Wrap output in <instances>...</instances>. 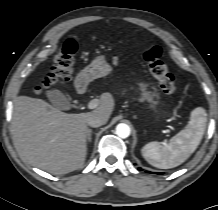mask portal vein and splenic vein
I'll return each instance as SVG.
<instances>
[{"label":"portal vein and splenic vein","instance_id":"18ae733b","mask_svg":"<svg viewBox=\"0 0 218 210\" xmlns=\"http://www.w3.org/2000/svg\"><path fill=\"white\" fill-rule=\"evenodd\" d=\"M100 101L98 99H93L88 103V109H95L98 107ZM167 140H164L163 143L165 144Z\"/></svg>","mask_w":218,"mask_h":210}]
</instances>
